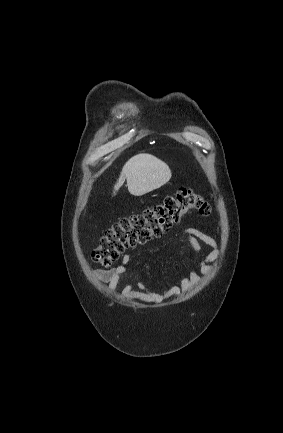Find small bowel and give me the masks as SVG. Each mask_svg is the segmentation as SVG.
Wrapping results in <instances>:
<instances>
[{"mask_svg":"<svg viewBox=\"0 0 283 433\" xmlns=\"http://www.w3.org/2000/svg\"><path fill=\"white\" fill-rule=\"evenodd\" d=\"M181 237L189 243L194 255L201 252L203 245L210 248V251L199 263L198 270L191 269L182 276L178 283H169L161 292L150 291L141 282L128 284L122 290L124 297H138L151 303L160 304L171 298L179 297L181 293L190 291L200 283V274L209 273L211 271L210 263L219 255L218 244L213 237L192 227L183 229ZM130 261V255L126 254L118 266L109 270H96L94 277L101 282L107 283L109 289L114 291L117 289L119 282L128 275Z\"/></svg>","mask_w":283,"mask_h":433,"instance_id":"obj_1","label":"small bowel"}]
</instances>
